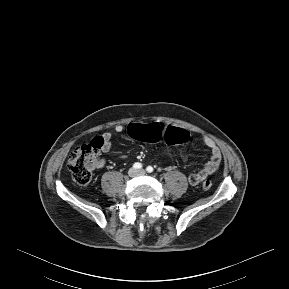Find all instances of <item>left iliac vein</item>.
Segmentation results:
<instances>
[{
  "instance_id": "left-iliac-vein-1",
  "label": "left iliac vein",
  "mask_w": 289,
  "mask_h": 289,
  "mask_svg": "<svg viewBox=\"0 0 289 289\" xmlns=\"http://www.w3.org/2000/svg\"><path fill=\"white\" fill-rule=\"evenodd\" d=\"M146 172H145V170H139L138 171V174H140V175H144Z\"/></svg>"
}]
</instances>
